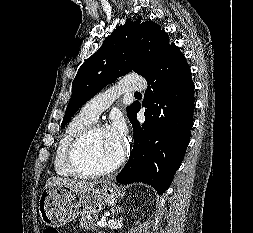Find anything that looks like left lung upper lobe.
<instances>
[{
    "mask_svg": "<svg viewBox=\"0 0 253 233\" xmlns=\"http://www.w3.org/2000/svg\"><path fill=\"white\" fill-rule=\"evenodd\" d=\"M173 44L161 27L152 21L127 19L106 38L100 49L79 68L72 83V97L61 128L76 111L106 85L131 71L145 77L162 60ZM136 102L127 107L130 119Z\"/></svg>",
    "mask_w": 253,
    "mask_h": 233,
    "instance_id": "left-lung-upper-lobe-1",
    "label": "left lung upper lobe"
}]
</instances>
